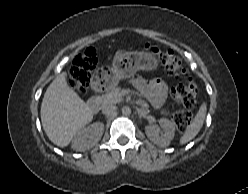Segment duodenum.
I'll return each instance as SVG.
<instances>
[{
	"mask_svg": "<svg viewBox=\"0 0 248 194\" xmlns=\"http://www.w3.org/2000/svg\"><path fill=\"white\" fill-rule=\"evenodd\" d=\"M102 89H99L94 95L90 96L86 101V107L90 112H96L99 107V98L98 93H100Z\"/></svg>",
	"mask_w": 248,
	"mask_h": 194,
	"instance_id": "duodenum-1",
	"label": "duodenum"
}]
</instances>
